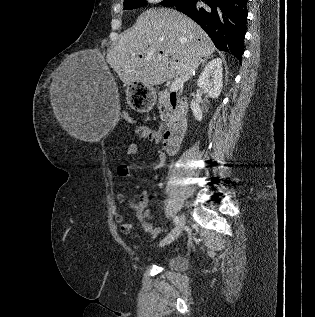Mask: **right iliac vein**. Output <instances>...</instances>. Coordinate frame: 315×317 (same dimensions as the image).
I'll list each match as a JSON object with an SVG mask.
<instances>
[{
  "mask_svg": "<svg viewBox=\"0 0 315 317\" xmlns=\"http://www.w3.org/2000/svg\"><path fill=\"white\" fill-rule=\"evenodd\" d=\"M185 225V218L182 215L180 217L179 222L177 223V225L174 227V229L170 232V234H168L161 242H160V246H165L168 245L170 243H172L175 239L178 238V236L180 235V233L183 230V227Z\"/></svg>",
  "mask_w": 315,
  "mask_h": 317,
  "instance_id": "63e3f726",
  "label": "right iliac vein"
}]
</instances>
